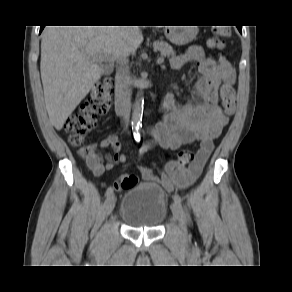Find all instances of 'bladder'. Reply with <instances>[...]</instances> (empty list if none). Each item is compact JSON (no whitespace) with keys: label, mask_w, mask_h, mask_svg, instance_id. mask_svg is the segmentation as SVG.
Masks as SVG:
<instances>
[{"label":"bladder","mask_w":292,"mask_h":292,"mask_svg":"<svg viewBox=\"0 0 292 292\" xmlns=\"http://www.w3.org/2000/svg\"><path fill=\"white\" fill-rule=\"evenodd\" d=\"M167 197L161 187L142 183L126 190L120 217L131 228H156L167 214Z\"/></svg>","instance_id":"31cf9c89"}]
</instances>
